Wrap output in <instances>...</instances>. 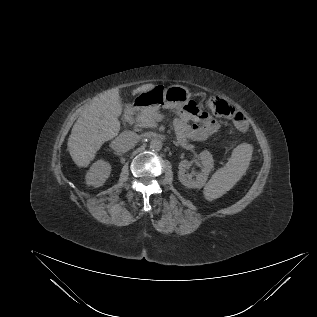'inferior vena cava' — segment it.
<instances>
[{
  "instance_id": "602c4592",
  "label": "inferior vena cava",
  "mask_w": 317,
  "mask_h": 317,
  "mask_svg": "<svg viewBox=\"0 0 317 317\" xmlns=\"http://www.w3.org/2000/svg\"><path fill=\"white\" fill-rule=\"evenodd\" d=\"M137 140L138 138L133 132H123L111 142L110 146L117 154H121L132 149Z\"/></svg>"
}]
</instances>
